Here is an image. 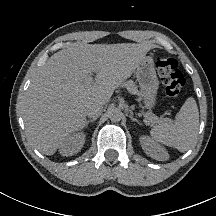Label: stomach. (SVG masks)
<instances>
[{
  "instance_id": "0dacf381",
  "label": "stomach",
  "mask_w": 216,
  "mask_h": 216,
  "mask_svg": "<svg viewBox=\"0 0 216 216\" xmlns=\"http://www.w3.org/2000/svg\"><path fill=\"white\" fill-rule=\"evenodd\" d=\"M135 77L140 87L139 95L143 97L146 107H154L160 82L156 75L152 56H146L142 63L136 68Z\"/></svg>"
}]
</instances>
